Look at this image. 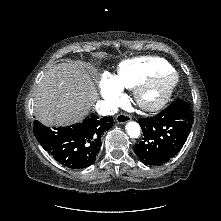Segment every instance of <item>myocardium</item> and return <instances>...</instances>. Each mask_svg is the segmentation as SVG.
<instances>
[{
	"label": "myocardium",
	"instance_id": "myocardium-1",
	"mask_svg": "<svg viewBox=\"0 0 221 221\" xmlns=\"http://www.w3.org/2000/svg\"><path fill=\"white\" fill-rule=\"evenodd\" d=\"M178 82V75L173 70L156 72L135 88V100L142 109L146 111H157L164 107L171 99L178 86ZM159 85H164L161 94L156 98H149V92Z\"/></svg>",
	"mask_w": 221,
	"mask_h": 221
}]
</instances>
